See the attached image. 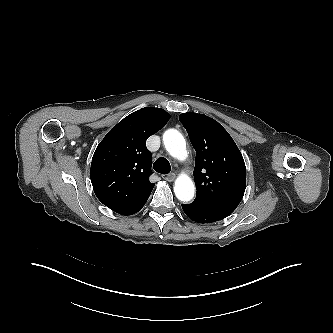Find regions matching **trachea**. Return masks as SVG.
Wrapping results in <instances>:
<instances>
[{
	"label": "trachea",
	"mask_w": 333,
	"mask_h": 333,
	"mask_svg": "<svg viewBox=\"0 0 333 333\" xmlns=\"http://www.w3.org/2000/svg\"><path fill=\"white\" fill-rule=\"evenodd\" d=\"M153 169L158 173L168 174L171 170V166L166 158L160 157L154 162Z\"/></svg>",
	"instance_id": "3493384b"
}]
</instances>
